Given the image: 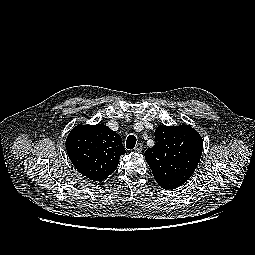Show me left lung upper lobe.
Wrapping results in <instances>:
<instances>
[{
    "mask_svg": "<svg viewBox=\"0 0 255 255\" xmlns=\"http://www.w3.org/2000/svg\"><path fill=\"white\" fill-rule=\"evenodd\" d=\"M156 143L145 151L154 179L166 190L182 186L194 173L202 154L203 141L191 126L161 125L155 130Z\"/></svg>",
    "mask_w": 255,
    "mask_h": 255,
    "instance_id": "obj_1",
    "label": "left lung upper lobe"
}]
</instances>
